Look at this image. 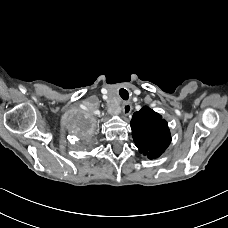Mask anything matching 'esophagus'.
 <instances>
[{
  "mask_svg": "<svg viewBox=\"0 0 228 228\" xmlns=\"http://www.w3.org/2000/svg\"><path fill=\"white\" fill-rule=\"evenodd\" d=\"M122 110L124 115H129L132 111V105L130 104V102H124L123 106H122Z\"/></svg>",
  "mask_w": 228,
  "mask_h": 228,
  "instance_id": "obj_1",
  "label": "esophagus"
}]
</instances>
